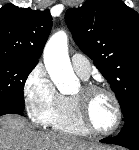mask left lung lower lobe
<instances>
[{
    "label": "left lung lower lobe",
    "instance_id": "1",
    "mask_svg": "<svg viewBox=\"0 0 139 150\" xmlns=\"http://www.w3.org/2000/svg\"><path fill=\"white\" fill-rule=\"evenodd\" d=\"M101 142L139 150V106L132 109L122 131L116 137H108L102 139Z\"/></svg>",
    "mask_w": 139,
    "mask_h": 150
}]
</instances>
